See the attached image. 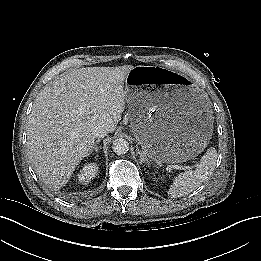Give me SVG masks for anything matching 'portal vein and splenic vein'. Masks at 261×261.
Segmentation results:
<instances>
[{"mask_svg":"<svg viewBox=\"0 0 261 261\" xmlns=\"http://www.w3.org/2000/svg\"><path fill=\"white\" fill-rule=\"evenodd\" d=\"M168 168L180 169V170H191V166H179V165H168Z\"/></svg>","mask_w":261,"mask_h":261,"instance_id":"portal-vein-and-splenic-vein-1","label":"portal vein and splenic vein"}]
</instances>
